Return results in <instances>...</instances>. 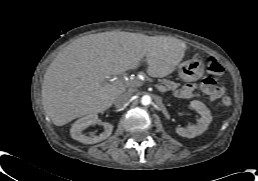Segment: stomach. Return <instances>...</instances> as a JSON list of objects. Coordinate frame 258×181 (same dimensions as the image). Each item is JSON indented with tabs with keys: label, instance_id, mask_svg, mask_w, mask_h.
<instances>
[{
	"label": "stomach",
	"instance_id": "obj_1",
	"mask_svg": "<svg viewBox=\"0 0 258 181\" xmlns=\"http://www.w3.org/2000/svg\"><path fill=\"white\" fill-rule=\"evenodd\" d=\"M204 70V64L199 59H190L182 62L178 66L179 76L187 81H191L199 77Z\"/></svg>",
	"mask_w": 258,
	"mask_h": 181
}]
</instances>
